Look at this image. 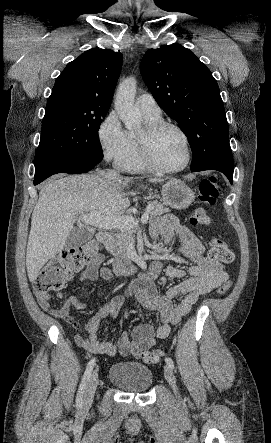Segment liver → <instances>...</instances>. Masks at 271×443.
<instances>
[{
  "label": "liver",
  "mask_w": 271,
  "mask_h": 443,
  "mask_svg": "<svg viewBox=\"0 0 271 443\" xmlns=\"http://www.w3.org/2000/svg\"><path fill=\"white\" fill-rule=\"evenodd\" d=\"M53 176L39 192L33 210L26 251L29 281H35L48 259L63 249L68 235L79 223V216L99 212L102 216L124 214L130 206L125 192L135 178H108L107 172L82 176ZM149 182H163L149 178Z\"/></svg>",
  "instance_id": "liver-1"
}]
</instances>
